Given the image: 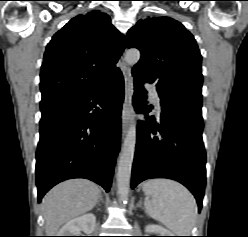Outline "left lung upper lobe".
<instances>
[{"instance_id":"5c2ea615","label":"left lung upper lobe","mask_w":248,"mask_h":237,"mask_svg":"<svg viewBox=\"0 0 248 237\" xmlns=\"http://www.w3.org/2000/svg\"><path fill=\"white\" fill-rule=\"evenodd\" d=\"M127 47L141 52L134 80L155 83L161 100L202 101L201 54L180 22L159 16L140 20L128 31Z\"/></svg>"}]
</instances>
